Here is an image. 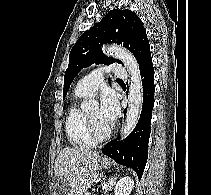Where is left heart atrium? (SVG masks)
Segmentation results:
<instances>
[{"label":"left heart atrium","mask_w":211,"mask_h":195,"mask_svg":"<svg viewBox=\"0 0 211 195\" xmlns=\"http://www.w3.org/2000/svg\"><path fill=\"white\" fill-rule=\"evenodd\" d=\"M119 106L115 96L106 92L102 95L99 116L103 123L109 127L114 124L118 117Z\"/></svg>","instance_id":"39dd6f15"}]
</instances>
